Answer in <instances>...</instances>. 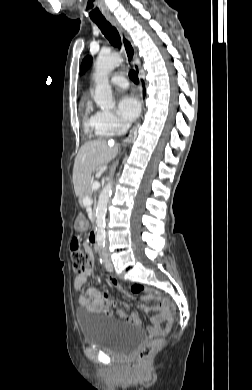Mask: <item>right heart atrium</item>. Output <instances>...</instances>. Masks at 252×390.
Segmentation results:
<instances>
[{
  "label": "right heart atrium",
  "mask_w": 252,
  "mask_h": 390,
  "mask_svg": "<svg viewBox=\"0 0 252 390\" xmlns=\"http://www.w3.org/2000/svg\"><path fill=\"white\" fill-rule=\"evenodd\" d=\"M125 123L109 112L96 113V131L100 136L110 137L125 129Z\"/></svg>",
  "instance_id": "obj_1"
}]
</instances>
